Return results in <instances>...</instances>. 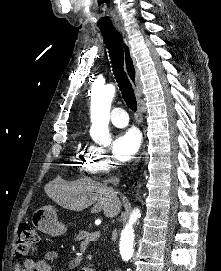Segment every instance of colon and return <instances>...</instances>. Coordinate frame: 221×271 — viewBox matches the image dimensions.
Here are the masks:
<instances>
[{
	"label": "colon",
	"mask_w": 221,
	"mask_h": 271,
	"mask_svg": "<svg viewBox=\"0 0 221 271\" xmlns=\"http://www.w3.org/2000/svg\"><path fill=\"white\" fill-rule=\"evenodd\" d=\"M38 235L27 223H20L16 240L15 253L19 258H25L37 250Z\"/></svg>",
	"instance_id": "obj_1"
}]
</instances>
